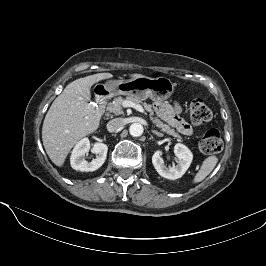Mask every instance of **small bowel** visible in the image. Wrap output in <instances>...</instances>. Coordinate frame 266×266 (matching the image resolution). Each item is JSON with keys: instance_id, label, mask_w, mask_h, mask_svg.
Listing matches in <instances>:
<instances>
[{"instance_id": "small-bowel-1", "label": "small bowel", "mask_w": 266, "mask_h": 266, "mask_svg": "<svg viewBox=\"0 0 266 266\" xmlns=\"http://www.w3.org/2000/svg\"><path fill=\"white\" fill-rule=\"evenodd\" d=\"M154 109L161 119L180 133L184 135L192 134V127L181 116L182 107L178 102H174L172 105L157 102L154 104Z\"/></svg>"}]
</instances>
